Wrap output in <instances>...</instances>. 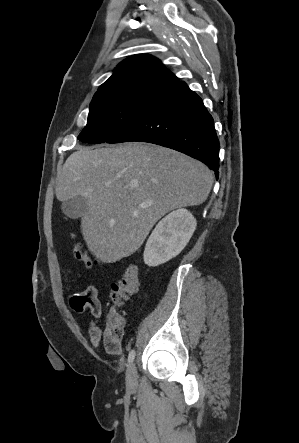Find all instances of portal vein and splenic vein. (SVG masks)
Returning <instances> with one entry per match:
<instances>
[{"instance_id":"portal-vein-and-splenic-vein-1","label":"portal vein and splenic vein","mask_w":299,"mask_h":443,"mask_svg":"<svg viewBox=\"0 0 299 443\" xmlns=\"http://www.w3.org/2000/svg\"><path fill=\"white\" fill-rule=\"evenodd\" d=\"M150 205H151V202H147V203L142 204L141 207L145 208V207L150 206Z\"/></svg>"}]
</instances>
